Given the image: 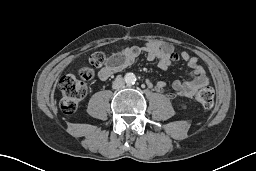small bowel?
<instances>
[{
    "label": "small bowel",
    "mask_w": 256,
    "mask_h": 171,
    "mask_svg": "<svg viewBox=\"0 0 256 171\" xmlns=\"http://www.w3.org/2000/svg\"><path fill=\"white\" fill-rule=\"evenodd\" d=\"M141 53L145 55L148 61L157 60L159 67L162 69L169 67L180 59L186 62L190 69V76L185 80L173 81V91L165 92L169 99H174L177 96L190 97L209 82V78L203 67L199 64L197 57L192 56L187 51L177 54L172 44L159 40H151L141 46H132L114 51L99 69V79L107 80L114 73L127 68L133 64ZM146 84L154 86L158 92H163L166 87V83L163 81L153 83L151 80H146Z\"/></svg>",
    "instance_id": "c3829d8e"
}]
</instances>
